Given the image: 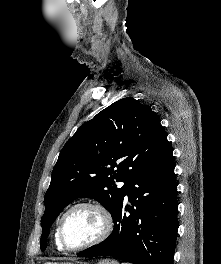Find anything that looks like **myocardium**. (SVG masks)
I'll list each match as a JSON object with an SVG mask.
<instances>
[{"mask_svg":"<svg viewBox=\"0 0 221 264\" xmlns=\"http://www.w3.org/2000/svg\"><path fill=\"white\" fill-rule=\"evenodd\" d=\"M79 208H89L94 210L95 212H97L99 214V216L101 217L102 220V230L100 232V234L93 239L92 241L85 243L83 245L80 246H76V247H72L69 246L63 236V225L64 222L67 218V216L73 212L76 209ZM113 226H114V220H113V216L110 212V210L101 202L98 201H94V200H86V201H81L78 203H75L74 205H72L70 208H68L64 214L62 215L59 223H58V227H57V236H58V240L60 245L62 246L63 249H66L68 251H81L90 247H93L95 245L100 244L101 242H103L104 240H106L109 235L111 234L112 230H113Z\"/></svg>","mask_w":221,"mask_h":264,"instance_id":"obj_1","label":"myocardium"}]
</instances>
